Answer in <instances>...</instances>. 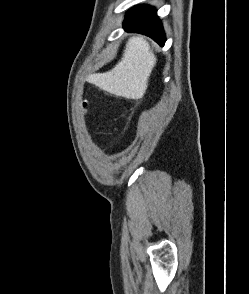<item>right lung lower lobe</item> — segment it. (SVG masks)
<instances>
[{
  "instance_id": "right-lung-lower-lobe-1",
  "label": "right lung lower lobe",
  "mask_w": 249,
  "mask_h": 294,
  "mask_svg": "<svg viewBox=\"0 0 249 294\" xmlns=\"http://www.w3.org/2000/svg\"><path fill=\"white\" fill-rule=\"evenodd\" d=\"M123 26L128 32L150 36L161 46L165 43V34L153 7L143 5L133 8L127 13Z\"/></svg>"
}]
</instances>
